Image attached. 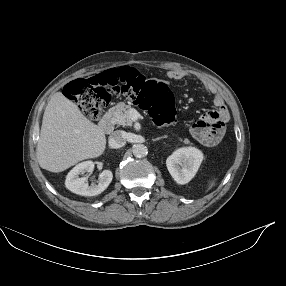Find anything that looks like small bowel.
I'll return each mask as SVG.
<instances>
[{"label": "small bowel", "mask_w": 286, "mask_h": 286, "mask_svg": "<svg viewBox=\"0 0 286 286\" xmlns=\"http://www.w3.org/2000/svg\"><path fill=\"white\" fill-rule=\"evenodd\" d=\"M189 77H191V74L188 71L182 69H171L167 72V78L174 81L182 80ZM203 87L205 92L212 96L213 104L216 107L215 110L211 111L217 113L223 122L227 121L229 119V113L221 94L211 83L205 82L203 84Z\"/></svg>", "instance_id": "1"}]
</instances>
